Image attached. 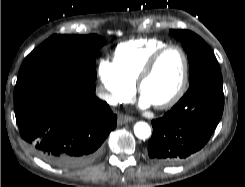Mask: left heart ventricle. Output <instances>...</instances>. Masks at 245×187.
Listing matches in <instances>:
<instances>
[{
    "label": "left heart ventricle",
    "instance_id": "obj_1",
    "mask_svg": "<svg viewBox=\"0 0 245 187\" xmlns=\"http://www.w3.org/2000/svg\"><path fill=\"white\" fill-rule=\"evenodd\" d=\"M183 72V61L178 50L167 51L142 86V96L151 104L167 100L177 90Z\"/></svg>",
    "mask_w": 245,
    "mask_h": 187
}]
</instances>
